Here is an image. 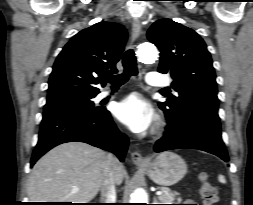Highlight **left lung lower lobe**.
<instances>
[{"label": "left lung lower lobe", "instance_id": "0a47b994", "mask_svg": "<svg viewBox=\"0 0 253 205\" xmlns=\"http://www.w3.org/2000/svg\"><path fill=\"white\" fill-rule=\"evenodd\" d=\"M166 118L168 126L164 136L155 143V152L190 148L206 151L229 161L221 138L217 111L198 109L183 117Z\"/></svg>", "mask_w": 253, "mask_h": 205}]
</instances>
